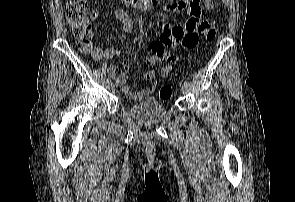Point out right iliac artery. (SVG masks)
<instances>
[{
  "instance_id": "obj_1",
  "label": "right iliac artery",
  "mask_w": 295,
  "mask_h": 202,
  "mask_svg": "<svg viewBox=\"0 0 295 202\" xmlns=\"http://www.w3.org/2000/svg\"><path fill=\"white\" fill-rule=\"evenodd\" d=\"M107 82H111V80L107 79Z\"/></svg>"
}]
</instances>
